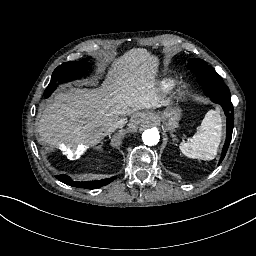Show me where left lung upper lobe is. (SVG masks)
<instances>
[{
	"label": "left lung upper lobe",
	"instance_id": "1",
	"mask_svg": "<svg viewBox=\"0 0 256 256\" xmlns=\"http://www.w3.org/2000/svg\"><path fill=\"white\" fill-rule=\"evenodd\" d=\"M188 68L196 74L198 83L203 86L204 93L209 96L213 102L220 104L227 116V135L219 161L220 164L228 150L234 126V111L230 92L228 87L224 84L223 79L202 59H189Z\"/></svg>",
	"mask_w": 256,
	"mask_h": 256
}]
</instances>
